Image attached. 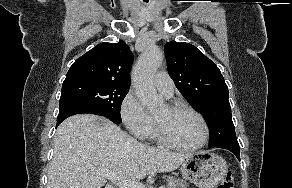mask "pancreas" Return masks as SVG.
Listing matches in <instances>:
<instances>
[{"label":"pancreas","instance_id":"obj_1","mask_svg":"<svg viewBox=\"0 0 292 188\" xmlns=\"http://www.w3.org/2000/svg\"><path fill=\"white\" fill-rule=\"evenodd\" d=\"M166 181L168 184L165 188H187L188 185L184 180L173 176L166 177Z\"/></svg>","mask_w":292,"mask_h":188}]
</instances>
